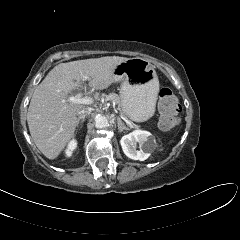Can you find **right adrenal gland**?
Returning a JSON list of instances; mask_svg holds the SVG:
<instances>
[{"mask_svg":"<svg viewBox=\"0 0 240 240\" xmlns=\"http://www.w3.org/2000/svg\"><path fill=\"white\" fill-rule=\"evenodd\" d=\"M84 118H85V117H79V118H78L77 130H78V128H79V124H80V128L83 127Z\"/></svg>","mask_w":240,"mask_h":240,"instance_id":"1","label":"right adrenal gland"}]
</instances>
